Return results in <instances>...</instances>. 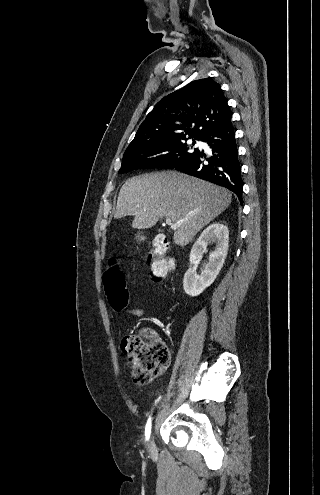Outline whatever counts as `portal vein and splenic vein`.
<instances>
[{"mask_svg":"<svg viewBox=\"0 0 320 495\" xmlns=\"http://www.w3.org/2000/svg\"><path fill=\"white\" fill-rule=\"evenodd\" d=\"M166 223L171 226L172 229H176V225L172 224V220L170 217H166Z\"/></svg>","mask_w":320,"mask_h":495,"instance_id":"1","label":"portal vein and splenic vein"}]
</instances>
